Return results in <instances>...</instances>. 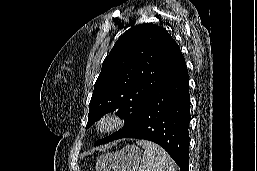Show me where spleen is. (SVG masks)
<instances>
[{"instance_id": "1", "label": "spleen", "mask_w": 257, "mask_h": 171, "mask_svg": "<svg viewBox=\"0 0 257 171\" xmlns=\"http://www.w3.org/2000/svg\"><path fill=\"white\" fill-rule=\"evenodd\" d=\"M137 145L144 148L139 171H177L175 162L159 145L147 140H138Z\"/></svg>"}]
</instances>
